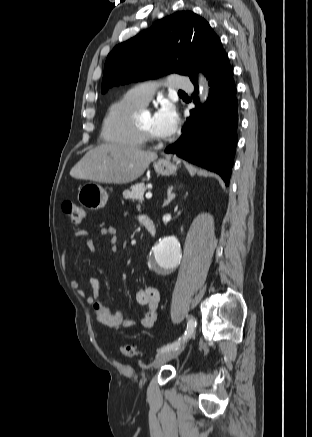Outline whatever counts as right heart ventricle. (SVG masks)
Listing matches in <instances>:
<instances>
[{
  "label": "right heart ventricle",
  "instance_id": "right-heart-ventricle-1",
  "mask_svg": "<svg viewBox=\"0 0 312 437\" xmlns=\"http://www.w3.org/2000/svg\"><path fill=\"white\" fill-rule=\"evenodd\" d=\"M143 106L129 97L128 93L112 103L103 120V139L114 145L142 147L144 143L135 128L134 116Z\"/></svg>",
  "mask_w": 312,
  "mask_h": 437
}]
</instances>
